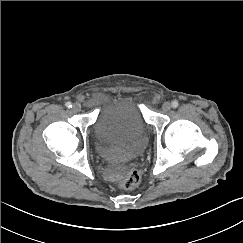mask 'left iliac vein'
<instances>
[{
  "label": "left iliac vein",
  "instance_id": "1",
  "mask_svg": "<svg viewBox=\"0 0 243 243\" xmlns=\"http://www.w3.org/2000/svg\"><path fill=\"white\" fill-rule=\"evenodd\" d=\"M170 109H171V104H170L169 102H165V103H163V105H162V110H163V111L167 112V111H169Z\"/></svg>",
  "mask_w": 243,
  "mask_h": 243
}]
</instances>
